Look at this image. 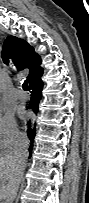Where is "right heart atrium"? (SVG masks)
Instances as JSON below:
<instances>
[{"instance_id":"right-heart-atrium-1","label":"right heart atrium","mask_w":89,"mask_h":203,"mask_svg":"<svg viewBox=\"0 0 89 203\" xmlns=\"http://www.w3.org/2000/svg\"><path fill=\"white\" fill-rule=\"evenodd\" d=\"M23 133L19 130L12 113L0 114V145L5 152L13 151L23 140Z\"/></svg>"}]
</instances>
